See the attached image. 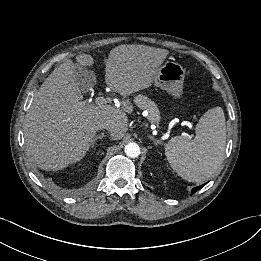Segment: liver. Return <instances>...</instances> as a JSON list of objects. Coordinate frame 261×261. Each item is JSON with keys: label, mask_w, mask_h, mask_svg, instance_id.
<instances>
[{"label": "liver", "mask_w": 261, "mask_h": 261, "mask_svg": "<svg viewBox=\"0 0 261 261\" xmlns=\"http://www.w3.org/2000/svg\"><path fill=\"white\" fill-rule=\"evenodd\" d=\"M169 51L144 45H120L106 61L105 82L123 98L148 88ZM67 60L46 78L29 108L24 125L26 150L44 170L57 171L80 161L103 123L111 125L110 136L121 139L128 130L132 105L121 108L94 105L83 100L75 81L79 66H92L93 57L82 54Z\"/></svg>", "instance_id": "liver-1"}]
</instances>
